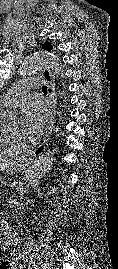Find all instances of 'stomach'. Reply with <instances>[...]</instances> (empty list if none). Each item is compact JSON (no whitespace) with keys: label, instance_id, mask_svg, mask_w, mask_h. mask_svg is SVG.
I'll return each mask as SVG.
<instances>
[{"label":"stomach","instance_id":"1","mask_svg":"<svg viewBox=\"0 0 118 269\" xmlns=\"http://www.w3.org/2000/svg\"><path fill=\"white\" fill-rule=\"evenodd\" d=\"M25 168H26V165H24V164H19V165L15 166L14 170L21 172V171H23Z\"/></svg>","mask_w":118,"mask_h":269}]
</instances>
